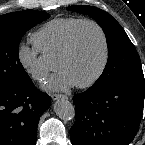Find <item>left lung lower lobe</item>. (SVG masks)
Returning a JSON list of instances; mask_svg holds the SVG:
<instances>
[{
  "mask_svg": "<svg viewBox=\"0 0 145 145\" xmlns=\"http://www.w3.org/2000/svg\"><path fill=\"white\" fill-rule=\"evenodd\" d=\"M144 78L102 88L90 87L74 96L76 121L70 130L73 145H128L143 113Z\"/></svg>",
  "mask_w": 145,
  "mask_h": 145,
  "instance_id": "obj_1",
  "label": "left lung lower lobe"
}]
</instances>
